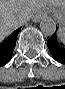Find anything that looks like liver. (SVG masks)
<instances>
[{
  "label": "liver",
  "instance_id": "liver-1",
  "mask_svg": "<svg viewBox=\"0 0 65 89\" xmlns=\"http://www.w3.org/2000/svg\"><path fill=\"white\" fill-rule=\"evenodd\" d=\"M64 6L62 0H0V37L8 36L17 29L16 22L20 18L33 17L48 7Z\"/></svg>",
  "mask_w": 65,
  "mask_h": 89
}]
</instances>
